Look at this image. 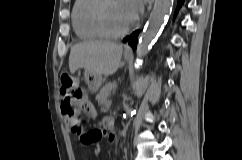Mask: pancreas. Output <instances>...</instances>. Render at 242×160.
<instances>
[{"mask_svg": "<svg viewBox=\"0 0 242 160\" xmlns=\"http://www.w3.org/2000/svg\"><path fill=\"white\" fill-rule=\"evenodd\" d=\"M116 87V82L107 83L96 96V100L98 101V103L101 105L106 104L108 96L110 95L112 90L116 89Z\"/></svg>", "mask_w": 242, "mask_h": 160, "instance_id": "1", "label": "pancreas"}]
</instances>
